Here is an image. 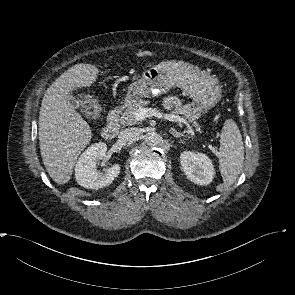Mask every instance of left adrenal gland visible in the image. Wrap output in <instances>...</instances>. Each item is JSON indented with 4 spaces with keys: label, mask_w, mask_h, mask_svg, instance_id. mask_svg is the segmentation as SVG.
<instances>
[{
    "label": "left adrenal gland",
    "mask_w": 295,
    "mask_h": 295,
    "mask_svg": "<svg viewBox=\"0 0 295 295\" xmlns=\"http://www.w3.org/2000/svg\"><path fill=\"white\" fill-rule=\"evenodd\" d=\"M170 133H171L175 138H179V137H188V138H190V136L187 135V134H185V132H184V133H181V132H178V131H176V130H174V129H170Z\"/></svg>",
    "instance_id": "left-adrenal-gland-1"
}]
</instances>
